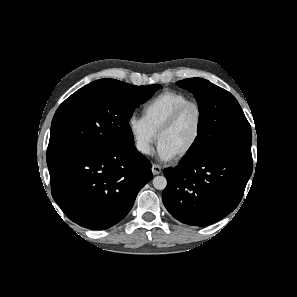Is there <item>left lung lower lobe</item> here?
I'll return each instance as SVG.
<instances>
[{
    "label": "left lung lower lobe",
    "instance_id": "left-lung-lower-lobe-1",
    "mask_svg": "<svg viewBox=\"0 0 297 297\" xmlns=\"http://www.w3.org/2000/svg\"><path fill=\"white\" fill-rule=\"evenodd\" d=\"M252 168L251 161L221 153L183 159L164 170L163 203L182 223L210 225L238 206Z\"/></svg>",
    "mask_w": 297,
    "mask_h": 297
}]
</instances>
